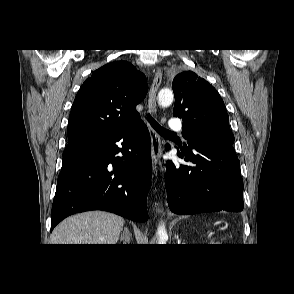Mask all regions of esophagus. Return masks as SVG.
Listing matches in <instances>:
<instances>
[{
  "instance_id": "esophagus-1",
  "label": "esophagus",
  "mask_w": 294,
  "mask_h": 294,
  "mask_svg": "<svg viewBox=\"0 0 294 294\" xmlns=\"http://www.w3.org/2000/svg\"><path fill=\"white\" fill-rule=\"evenodd\" d=\"M162 81V73L159 68L156 69L154 73L153 82L149 90V113L156 114V94L160 87ZM149 132L151 136V158H152V168L154 174H157L158 165L162 156V144L160 136L157 132L149 125Z\"/></svg>"
}]
</instances>
